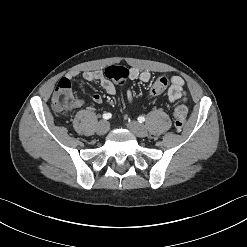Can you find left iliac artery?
Returning a JSON list of instances; mask_svg holds the SVG:
<instances>
[{
	"mask_svg": "<svg viewBox=\"0 0 247 247\" xmlns=\"http://www.w3.org/2000/svg\"><path fill=\"white\" fill-rule=\"evenodd\" d=\"M138 121H139L140 123L144 122V121H145V117H144V116H139V117H138Z\"/></svg>",
	"mask_w": 247,
	"mask_h": 247,
	"instance_id": "44dca946",
	"label": "left iliac artery"
}]
</instances>
